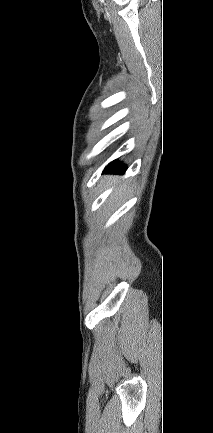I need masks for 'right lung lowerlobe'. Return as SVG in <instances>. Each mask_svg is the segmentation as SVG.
<instances>
[{"mask_svg":"<svg viewBox=\"0 0 213 433\" xmlns=\"http://www.w3.org/2000/svg\"><path fill=\"white\" fill-rule=\"evenodd\" d=\"M126 170V166L117 161L110 163L104 170V172H119L123 173Z\"/></svg>","mask_w":213,"mask_h":433,"instance_id":"right-lung-lower-lobe-1","label":"right lung lower lobe"}]
</instances>
